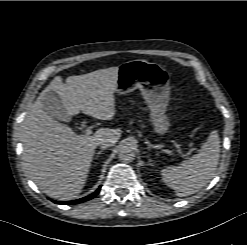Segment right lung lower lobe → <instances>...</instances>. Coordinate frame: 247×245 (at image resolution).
Wrapping results in <instances>:
<instances>
[{
    "label": "right lung lower lobe",
    "mask_w": 247,
    "mask_h": 245,
    "mask_svg": "<svg viewBox=\"0 0 247 245\" xmlns=\"http://www.w3.org/2000/svg\"><path fill=\"white\" fill-rule=\"evenodd\" d=\"M100 189H101V186L94 193L90 194L89 196H86V197H83V198H80V199H77L74 201H65V202L53 201V202H55L57 204H66V205L78 204V203L88 201V200L94 198L99 193Z\"/></svg>",
    "instance_id": "right-lung-lower-lobe-1"
}]
</instances>
